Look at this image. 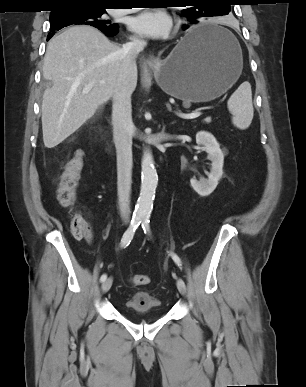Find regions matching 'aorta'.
<instances>
[{
    "label": "aorta",
    "instance_id": "obj_1",
    "mask_svg": "<svg viewBox=\"0 0 306 387\" xmlns=\"http://www.w3.org/2000/svg\"><path fill=\"white\" fill-rule=\"evenodd\" d=\"M158 176L154 166L152 153L144 150L141 162V188L134 214L138 218H148L153 209Z\"/></svg>",
    "mask_w": 306,
    "mask_h": 387
}]
</instances>
